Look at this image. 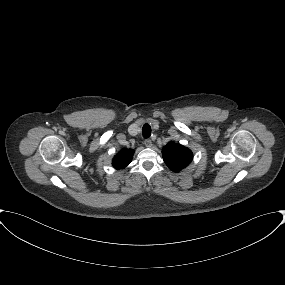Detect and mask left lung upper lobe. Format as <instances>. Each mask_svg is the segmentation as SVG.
Listing matches in <instances>:
<instances>
[{
	"label": "left lung upper lobe",
	"instance_id": "5c2ea615",
	"mask_svg": "<svg viewBox=\"0 0 285 285\" xmlns=\"http://www.w3.org/2000/svg\"><path fill=\"white\" fill-rule=\"evenodd\" d=\"M162 155L166 165L174 172H179L187 167L193 159L190 149L174 142L163 147Z\"/></svg>",
	"mask_w": 285,
	"mask_h": 285
}]
</instances>
